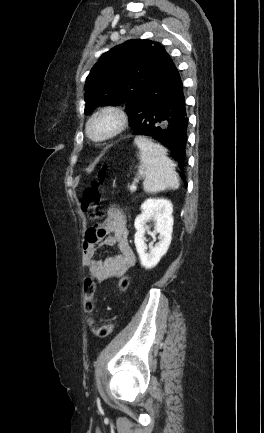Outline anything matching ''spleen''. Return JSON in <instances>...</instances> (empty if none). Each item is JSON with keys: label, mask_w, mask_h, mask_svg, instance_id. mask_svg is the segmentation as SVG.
<instances>
[{"label": "spleen", "mask_w": 264, "mask_h": 433, "mask_svg": "<svg viewBox=\"0 0 264 433\" xmlns=\"http://www.w3.org/2000/svg\"><path fill=\"white\" fill-rule=\"evenodd\" d=\"M134 143L140 149L144 191L157 193L168 188L178 189L180 184L174 163L166 156L165 148L142 136L136 137Z\"/></svg>", "instance_id": "spleen-1"}]
</instances>
